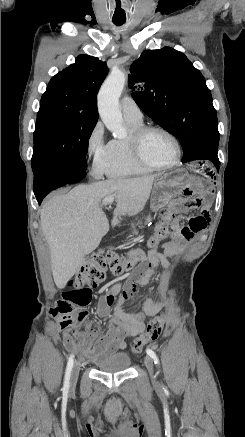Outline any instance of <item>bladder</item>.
<instances>
[{
  "mask_svg": "<svg viewBox=\"0 0 245 437\" xmlns=\"http://www.w3.org/2000/svg\"><path fill=\"white\" fill-rule=\"evenodd\" d=\"M96 366L99 371L107 373L125 371L131 366V358L127 353L121 352L99 361Z\"/></svg>",
  "mask_w": 245,
  "mask_h": 437,
  "instance_id": "bladder-1",
  "label": "bladder"
}]
</instances>
